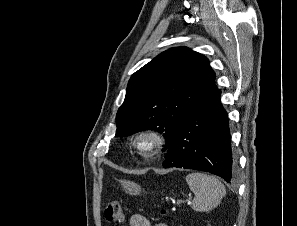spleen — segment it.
Segmentation results:
<instances>
[{"instance_id": "spleen-1", "label": "spleen", "mask_w": 297, "mask_h": 226, "mask_svg": "<svg viewBox=\"0 0 297 226\" xmlns=\"http://www.w3.org/2000/svg\"><path fill=\"white\" fill-rule=\"evenodd\" d=\"M185 179L190 190L195 194L191 203L195 211L204 212L215 208L226 194L224 185L212 175L192 172Z\"/></svg>"}]
</instances>
